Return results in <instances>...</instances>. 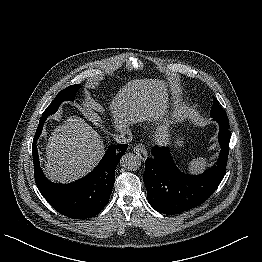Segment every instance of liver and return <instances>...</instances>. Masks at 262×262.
<instances>
[{"label": "liver", "mask_w": 262, "mask_h": 262, "mask_svg": "<svg viewBox=\"0 0 262 262\" xmlns=\"http://www.w3.org/2000/svg\"><path fill=\"white\" fill-rule=\"evenodd\" d=\"M166 103L164 81L135 79L118 91L109 110L115 128L122 132L137 122L158 119ZM104 152L99 134L82 118L70 116L53 130L46 146L47 161L43 170L52 181H75L90 172Z\"/></svg>", "instance_id": "1"}]
</instances>
